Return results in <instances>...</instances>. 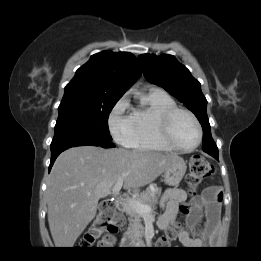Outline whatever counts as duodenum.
Segmentation results:
<instances>
[{"instance_id":"410a0bca","label":"duodenum","mask_w":261,"mask_h":261,"mask_svg":"<svg viewBox=\"0 0 261 261\" xmlns=\"http://www.w3.org/2000/svg\"><path fill=\"white\" fill-rule=\"evenodd\" d=\"M117 210H118V215L113 216L109 226L108 230L110 233H115L119 227L122 226L124 223V210H123V204L122 201L117 202Z\"/></svg>"}]
</instances>
